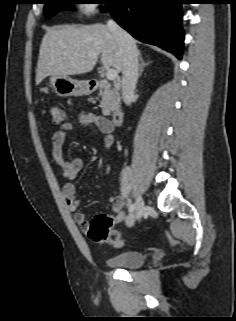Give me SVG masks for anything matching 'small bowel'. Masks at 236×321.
Wrapping results in <instances>:
<instances>
[{
  "instance_id": "1",
  "label": "small bowel",
  "mask_w": 236,
  "mask_h": 321,
  "mask_svg": "<svg viewBox=\"0 0 236 321\" xmlns=\"http://www.w3.org/2000/svg\"><path fill=\"white\" fill-rule=\"evenodd\" d=\"M81 121L86 126H95L103 134H105V147L109 148L114 142V125L108 119L93 112L83 113L81 115ZM73 125L71 123L63 124L58 130H56L52 136V157L55 163L61 169L62 175L67 180L74 179L83 167V162L79 158L68 159L63 155V145L66 139L69 137ZM126 191L122 185L121 193L119 195L112 196L110 198L112 210L117 213L118 222L122 219V209L126 202ZM62 195L67 209L74 213V220L76 224L84 231L88 227V221L83 213L77 212L80 204V200L77 196L76 186L68 181L62 187Z\"/></svg>"
}]
</instances>
